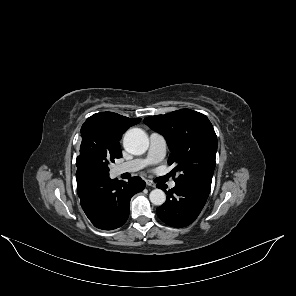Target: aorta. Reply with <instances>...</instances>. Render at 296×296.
I'll return each mask as SVG.
<instances>
[{
	"label": "aorta",
	"mask_w": 296,
	"mask_h": 296,
	"mask_svg": "<svg viewBox=\"0 0 296 296\" xmlns=\"http://www.w3.org/2000/svg\"><path fill=\"white\" fill-rule=\"evenodd\" d=\"M123 146L127 152L140 155L148 149L149 139L143 130L131 128L124 135ZM149 198L152 204L161 206L166 201V194L161 189H154L150 192Z\"/></svg>",
	"instance_id": "1"
}]
</instances>
